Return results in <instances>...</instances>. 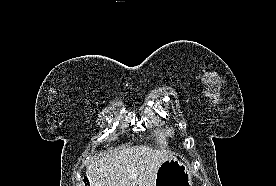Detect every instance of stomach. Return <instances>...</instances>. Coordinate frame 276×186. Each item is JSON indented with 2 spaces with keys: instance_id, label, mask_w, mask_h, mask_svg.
<instances>
[{
  "instance_id": "obj_1",
  "label": "stomach",
  "mask_w": 276,
  "mask_h": 186,
  "mask_svg": "<svg viewBox=\"0 0 276 186\" xmlns=\"http://www.w3.org/2000/svg\"><path fill=\"white\" fill-rule=\"evenodd\" d=\"M154 186H192V175L177 158L167 159L156 173Z\"/></svg>"
}]
</instances>
